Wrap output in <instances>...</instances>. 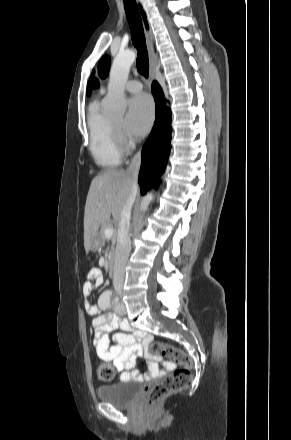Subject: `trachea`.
<instances>
[{
    "instance_id": "3493384b",
    "label": "trachea",
    "mask_w": 291,
    "mask_h": 440,
    "mask_svg": "<svg viewBox=\"0 0 291 440\" xmlns=\"http://www.w3.org/2000/svg\"><path fill=\"white\" fill-rule=\"evenodd\" d=\"M125 11L129 23L132 42L138 51L137 54V70L144 77L148 78L149 60L146 48L144 30L141 17L135 0H123Z\"/></svg>"
}]
</instances>
